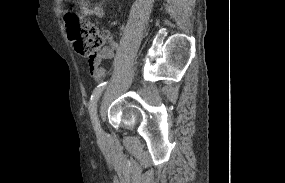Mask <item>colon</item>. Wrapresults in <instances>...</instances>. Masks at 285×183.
I'll list each match as a JSON object with an SVG mask.
<instances>
[{
	"label": "colon",
	"mask_w": 285,
	"mask_h": 183,
	"mask_svg": "<svg viewBox=\"0 0 285 183\" xmlns=\"http://www.w3.org/2000/svg\"><path fill=\"white\" fill-rule=\"evenodd\" d=\"M65 26L75 50L90 60L97 58L110 38L108 33L100 32L92 22L75 13L66 14Z\"/></svg>",
	"instance_id": "1"
}]
</instances>
